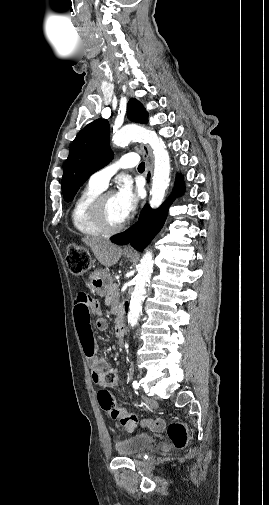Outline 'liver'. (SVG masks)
Segmentation results:
<instances>
[{
	"label": "liver",
	"mask_w": 269,
	"mask_h": 505,
	"mask_svg": "<svg viewBox=\"0 0 269 505\" xmlns=\"http://www.w3.org/2000/svg\"><path fill=\"white\" fill-rule=\"evenodd\" d=\"M82 241L91 248L98 261L107 268L115 265L122 255V249L110 241L96 237H84Z\"/></svg>",
	"instance_id": "6515ba94"
}]
</instances>
